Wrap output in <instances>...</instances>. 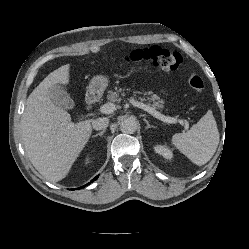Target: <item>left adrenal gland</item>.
<instances>
[{
  "label": "left adrenal gland",
  "mask_w": 249,
  "mask_h": 249,
  "mask_svg": "<svg viewBox=\"0 0 249 249\" xmlns=\"http://www.w3.org/2000/svg\"><path fill=\"white\" fill-rule=\"evenodd\" d=\"M144 121L147 124L146 129L155 128V126L149 124L148 120L144 119Z\"/></svg>",
  "instance_id": "a2214340"
}]
</instances>
